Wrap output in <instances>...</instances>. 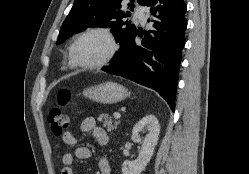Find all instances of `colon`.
<instances>
[{
    "label": "colon",
    "mask_w": 249,
    "mask_h": 174,
    "mask_svg": "<svg viewBox=\"0 0 249 174\" xmlns=\"http://www.w3.org/2000/svg\"><path fill=\"white\" fill-rule=\"evenodd\" d=\"M71 94L68 90H62L58 94L59 105L53 107L47 116L48 123L52 132L57 135H63L70 127V117L64 111V107L69 103Z\"/></svg>",
    "instance_id": "5ec220e1"
}]
</instances>
